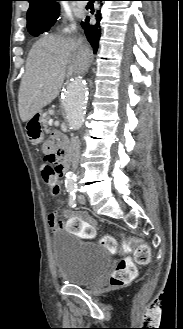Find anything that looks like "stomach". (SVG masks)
Here are the masks:
<instances>
[{"mask_svg": "<svg viewBox=\"0 0 183 329\" xmlns=\"http://www.w3.org/2000/svg\"><path fill=\"white\" fill-rule=\"evenodd\" d=\"M37 115H39V117H40V119H41V112H38V114ZM28 137H30V138H32L30 141L32 142V143H34V144H38V143H40V142H42V140H43V133H40V132H38V137L37 138H34L33 139V136H28Z\"/></svg>", "mask_w": 183, "mask_h": 329, "instance_id": "1", "label": "stomach"}]
</instances>
